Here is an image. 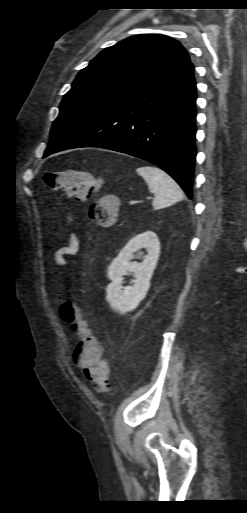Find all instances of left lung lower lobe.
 Returning <instances> with one entry per match:
<instances>
[{"label":"left lung lower lobe","instance_id":"left-lung-lower-lobe-1","mask_svg":"<svg viewBox=\"0 0 247 513\" xmlns=\"http://www.w3.org/2000/svg\"><path fill=\"white\" fill-rule=\"evenodd\" d=\"M196 97L190 63L168 81L68 138L50 154L78 147L129 154L165 170L192 199Z\"/></svg>","mask_w":247,"mask_h":513}]
</instances>
